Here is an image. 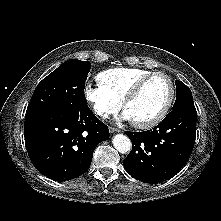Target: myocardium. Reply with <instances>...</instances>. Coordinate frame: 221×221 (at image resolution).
<instances>
[{
	"instance_id": "myocardium-1",
	"label": "myocardium",
	"mask_w": 221,
	"mask_h": 221,
	"mask_svg": "<svg viewBox=\"0 0 221 221\" xmlns=\"http://www.w3.org/2000/svg\"><path fill=\"white\" fill-rule=\"evenodd\" d=\"M156 76H162L167 80V82L169 84V88H170L168 99H167L164 107L162 108V110L154 118L147 120V121H143V122L132 121V124L136 128L150 129V128L157 126L168 115V113L173 105V102L175 100L176 89H175V84H174L172 78L168 74L161 72V71L151 72L148 75L139 79L135 83V85L132 87L130 92L126 95V97L123 99L122 107L124 108V110L126 111L127 106L139 96V94L141 93V91H142L143 87L146 85V83Z\"/></svg>"
}]
</instances>
